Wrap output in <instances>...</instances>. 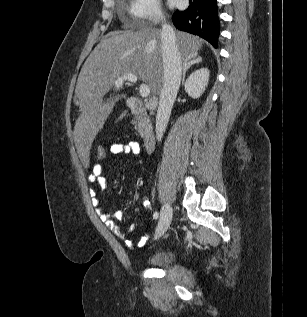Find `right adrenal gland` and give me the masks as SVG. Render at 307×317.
Instances as JSON below:
<instances>
[{
	"instance_id": "1",
	"label": "right adrenal gland",
	"mask_w": 307,
	"mask_h": 317,
	"mask_svg": "<svg viewBox=\"0 0 307 317\" xmlns=\"http://www.w3.org/2000/svg\"><path fill=\"white\" fill-rule=\"evenodd\" d=\"M200 62H202V58L200 56H197V55L191 57L190 59L184 60L182 84H184V82H185V76H186V72L188 71V69H190L191 66L198 64Z\"/></svg>"
}]
</instances>
